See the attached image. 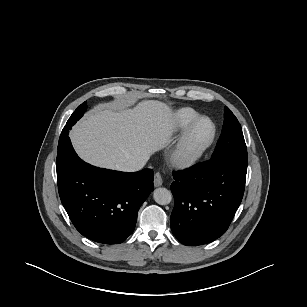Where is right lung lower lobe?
<instances>
[{"instance_id":"1","label":"right lung lower lobe","mask_w":307,"mask_h":307,"mask_svg":"<svg viewBox=\"0 0 307 307\" xmlns=\"http://www.w3.org/2000/svg\"><path fill=\"white\" fill-rule=\"evenodd\" d=\"M58 147L61 202L76 229L99 243H121L134 231L140 206L153 191V171L125 173L94 167L74 151L69 131Z\"/></svg>"}]
</instances>
